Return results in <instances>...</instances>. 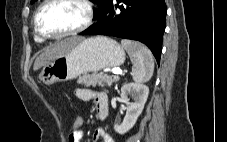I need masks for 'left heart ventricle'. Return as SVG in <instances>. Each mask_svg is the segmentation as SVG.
Listing matches in <instances>:
<instances>
[{"label": "left heart ventricle", "mask_w": 227, "mask_h": 142, "mask_svg": "<svg viewBox=\"0 0 227 142\" xmlns=\"http://www.w3.org/2000/svg\"><path fill=\"white\" fill-rule=\"evenodd\" d=\"M85 14L84 7L77 0H58L42 10L40 29L46 34L68 32L83 23Z\"/></svg>", "instance_id": "b2bd125f"}]
</instances>
